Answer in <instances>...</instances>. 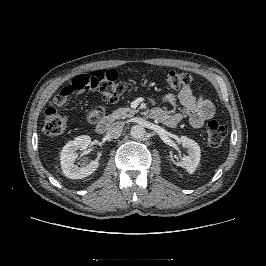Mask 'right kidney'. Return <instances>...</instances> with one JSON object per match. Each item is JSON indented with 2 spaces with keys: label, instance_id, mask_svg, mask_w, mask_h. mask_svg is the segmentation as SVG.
<instances>
[{
  "label": "right kidney",
  "instance_id": "ca27d5eb",
  "mask_svg": "<svg viewBox=\"0 0 266 266\" xmlns=\"http://www.w3.org/2000/svg\"><path fill=\"white\" fill-rule=\"evenodd\" d=\"M91 143V138L87 135L76 137L69 141L60 154L61 168L65 176L71 179H83L91 175L99 166L98 160H91L85 166H77L75 160L78 157V149L85 150Z\"/></svg>",
  "mask_w": 266,
  "mask_h": 266
}]
</instances>
